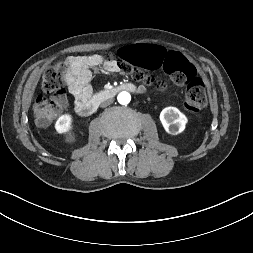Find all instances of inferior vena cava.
<instances>
[{"mask_svg":"<svg viewBox=\"0 0 253 253\" xmlns=\"http://www.w3.org/2000/svg\"><path fill=\"white\" fill-rule=\"evenodd\" d=\"M112 103H113V99H108V100L103 101V102L101 103V107H107V106H109V105L112 104Z\"/></svg>","mask_w":253,"mask_h":253,"instance_id":"602c4592","label":"inferior vena cava"}]
</instances>
